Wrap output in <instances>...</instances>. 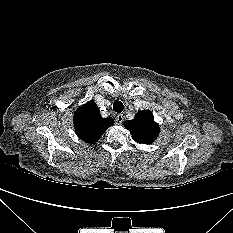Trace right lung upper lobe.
Returning <instances> with one entry per match:
<instances>
[{"label": "right lung upper lobe", "mask_w": 233, "mask_h": 233, "mask_svg": "<svg viewBox=\"0 0 233 233\" xmlns=\"http://www.w3.org/2000/svg\"><path fill=\"white\" fill-rule=\"evenodd\" d=\"M113 124V118L101 117L98 106L92 100L79 107L74 114L75 131L87 143H95Z\"/></svg>", "instance_id": "1"}]
</instances>
